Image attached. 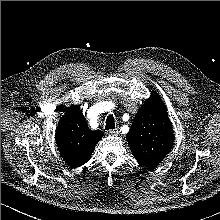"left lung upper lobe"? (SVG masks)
Segmentation results:
<instances>
[{"instance_id": "1", "label": "left lung upper lobe", "mask_w": 220, "mask_h": 220, "mask_svg": "<svg viewBox=\"0 0 220 220\" xmlns=\"http://www.w3.org/2000/svg\"><path fill=\"white\" fill-rule=\"evenodd\" d=\"M129 147L137 161L157 166L171 150L174 134L166 107L156 93L142 104L127 134Z\"/></svg>"}]
</instances>
